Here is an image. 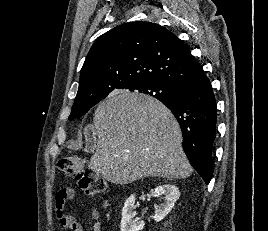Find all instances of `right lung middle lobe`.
<instances>
[{"mask_svg": "<svg viewBox=\"0 0 268 231\" xmlns=\"http://www.w3.org/2000/svg\"><path fill=\"white\" fill-rule=\"evenodd\" d=\"M130 91L134 92H141L147 95H151L155 98L159 99H165V98H171L175 94V88H172L170 86L164 85L162 83L158 82H150V83H143L140 85H137L135 87H132L129 89ZM96 103L87 104V105H73L72 112L69 116V120H73L75 118L81 117L84 114H86L91 107L96 105Z\"/></svg>", "mask_w": 268, "mask_h": 231, "instance_id": "dd1d6c3e", "label": "right lung middle lobe"}]
</instances>
